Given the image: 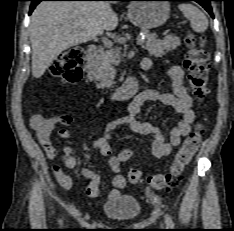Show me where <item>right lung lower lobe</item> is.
Segmentation results:
<instances>
[{"mask_svg": "<svg viewBox=\"0 0 234 231\" xmlns=\"http://www.w3.org/2000/svg\"><path fill=\"white\" fill-rule=\"evenodd\" d=\"M31 1V7L29 13L31 14L34 8L37 4H39L41 1H91V0H29ZM113 1H121V0H113Z\"/></svg>", "mask_w": 234, "mask_h": 231, "instance_id": "1", "label": "right lung lower lobe"}]
</instances>
